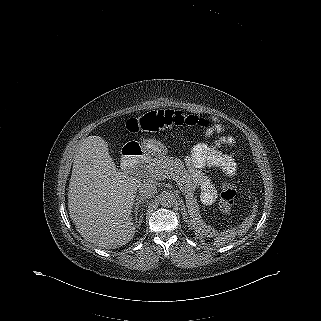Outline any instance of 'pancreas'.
I'll use <instances>...</instances> for the list:
<instances>
[{
    "label": "pancreas",
    "mask_w": 321,
    "mask_h": 321,
    "mask_svg": "<svg viewBox=\"0 0 321 321\" xmlns=\"http://www.w3.org/2000/svg\"><path fill=\"white\" fill-rule=\"evenodd\" d=\"M146 171L154 179H159L156 174L160 175L163 179V175L167 178L174 175H179L181 182L184 184L183 192L186 197V206L193 218L200 219L199 205L197 199L194 197V184L191 175L184 169L183 162L179 159H173L169 156L157 157L151 159L146 165ZM182 185V184H181ZM203 221V220H202Z\"/></svg>",
    "instance_id": "pancreas-1"
}]
</instances>
